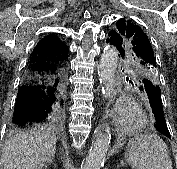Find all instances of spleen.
I'll use <instances>...</instances> for the list:
<instances>
[{
	"mask_svg": "<svg viewBox=\"0 0 177 169\" xmlns=\"http://www.w3.org/2000/svg\"><path fill=\"white\" fill-rule=\"evenodd\" d=\"M126 158L132 169H173L166 143L149 132L129 141Z\"/></svg>",
	"mask_w": 177,
	"mask_h": 169,
	"instance_id": "spleen-1",
	"label": "spleen"
}]
</instances>
